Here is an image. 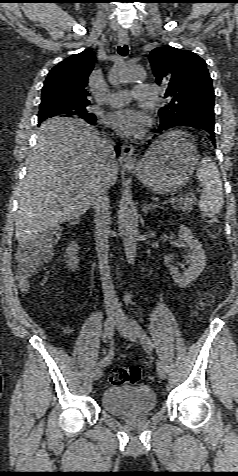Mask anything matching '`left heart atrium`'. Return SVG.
Returning <instances> with one entry per match:
<instances>
[{"label": "left heart atrium", "instance_id": "39dd6f15", "mask_svg": "<svg viewBox=\"0 0 238 476\" xmlns=\"http://www.w3.org/2000/svg\"><path fill=\"white\" fill-rule=\"evenodd\" d=\"M106 123L126 137H141L147 130L150 119L141 110L128 107L110 112L105 117Z\"/></svg>", "mask_w": 238, "mask_h": 476}]
</instances>
